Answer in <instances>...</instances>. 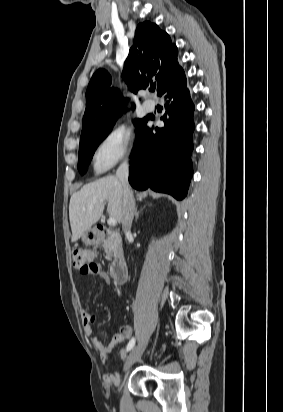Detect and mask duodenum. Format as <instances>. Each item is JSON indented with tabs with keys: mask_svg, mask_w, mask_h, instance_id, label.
Returning <instances> with one entry per match:
<instances>
[{
	"mask_svg": "<svg viewBox=\"0 0 283 412\" xmlns=\"http://www.w3.org/2000/svg\"><path fill=\"white\" fill-rule=\"evenodd\" d=\"M94 237L97 244L108 242L114 247L116 254L110 269V274L116 283L120 285L125 284L128 277V270L125 260L117 249L120 241L118 232L107 227L97 226Z\"/></svg>",
	"mask_w": 283,
	"mask_h": 412,
	"instance_id": "duodenum-1",
	"label": "duodenum"
}]
</instances>
